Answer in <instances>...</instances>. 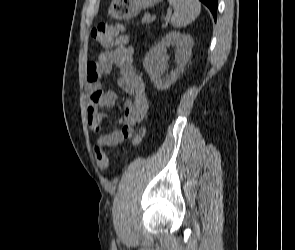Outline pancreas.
Segmentation results:
<instances>
[{"instance_id": "1", "label": "pancreas", "mask_w": 295, "mask_h": 250, "mask_svg": "<svg viewBox=\"0 0 295 250\" xmlns=\"http://www.w3.org/2000/svg\"><path fill=\"white\" fill-rule=\"evenodd\" d=\"M152 21V18L149 14H145L144 17L142 18V23H150Z\"/></svg>"}]
</instances>
